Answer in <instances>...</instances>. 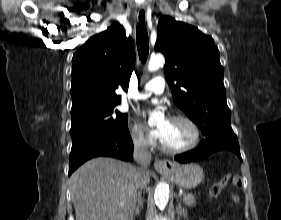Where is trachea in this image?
Masks as SVG:
<instances>
[{"label":"trachea","mask_w":281,"mask_h":220,"mask_svg":"<svg viewBox=\"0 0 281 220\" xmlns=\"http://www.w3.org/2000/svg\"><path fill=\"white\" fill-rule=\"evenodd\" d=\"M136 39L139 58L142 62H145L149 52V40L146 27L142 24H138L136 27Z\"/></svg>","instance_id":"trachea-1"}]
</instances>
